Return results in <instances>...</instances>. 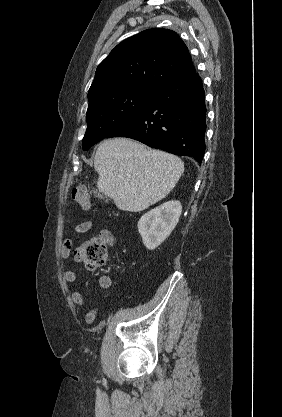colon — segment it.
Wrapping results in <instances>:
<instances>
[{
	"instance_id": "colon-1",
	"label": "colon",
	"mask_w": 282,
	"mask_h": 417,
	"mask_svg": "<svg viewBox=\"0 0 282 417\" xmlns=\"http://www.w3.org/2000/svg\"><path fill=\"white\" fill-rule=\"evenodd\" d=\"M72 195L79 205L89 206L90 194L84 185H76L72 190ZM107 257V246L99 238H90L84 241L74 251L75 260L89 268H103L107 263Z\"/></svg>"
}]
</instances>
